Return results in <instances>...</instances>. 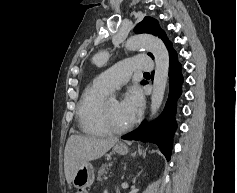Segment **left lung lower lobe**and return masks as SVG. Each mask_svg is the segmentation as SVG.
<instances>
[{"instance_id": "obj_1", "label": "left lung lower lobe", "mask_w": 237, "mask_h": 193, "mask_svg": "<svg viewBox=\"0 0 237 193\" xmlns=\"http://www.w3.org/2000/svg\"><path fill=\"white\" fill-rule=\"evenodd\" d=\"M167 49L170 57V91L165 108L155 122L147 123L144 121L137 130L122 136V139L155 143L169 160L173 134L177 126L175 121L176 101L181 95L183 76L181 75V64L177 60V53L172 48V44Z\"/></svg>"}]
</instances>
